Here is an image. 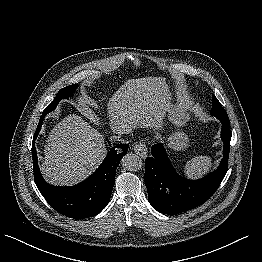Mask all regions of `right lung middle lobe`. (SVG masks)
I'll list each match as a JSON object with an SVG mask.
<instances>
[{
	"label": "right lung middle lobe",
	"mask_w": 262,
	"mask_h": 262,
	"mask_svg": "<svg viewBox=\"0 0 262 262\" xmlns=\"http://www.w3.org/2000/svg\"><path fill=\"white\" fill-rule=\"evenodd\" d=\"M77 84H73V85H70V86H67L63 89H61L55 99L46 107V109L44 110L45 113H49L51 112L52 110H54L57 106V104L59 103V101L63 98H69L72 93L77 89Z\"/></svg>",
	"instance_id": "1"
}]
</instances>
